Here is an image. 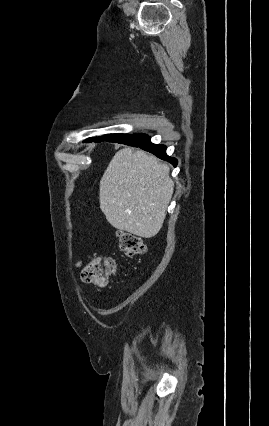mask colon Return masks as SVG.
I'll return each instance as SVG.
<instances>
[{
  "instance_id": "5ec220e1",
  "label": "colon",
  "mask_w": 269,
  "mask_h": 426,
  "mask_svg": "<svg viewBox=\"0 0 269 426\" xmlns=\"http://www.w3.org/2000/svg\"><path fill=\"white\" fill-rule=\"evenodd\" d=\"M121 252L126 256L143 254L146 251V244L142 237L126 231H120L117 235ZM118 272L117 265L112 257L91 258L85 265L81 273L83 282L104 286L109 278Z\"/></svg>"
}]
</instances>
